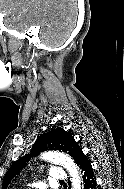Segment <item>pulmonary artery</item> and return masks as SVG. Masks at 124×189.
Instances as JSON below:
<instances>
[{
  "label": "pulmonary artery",
  "instance_id": "1",
  "mask_svg": "<svg viewBox=\"0 0 124 189\" xmlns=\"http://www.w3.org/2000/svg\"><path fill=\"white\" fill-rule=\"evenodd\" d=\"M49 176L54 181H63L66 179V174L60 167H53L49 172Z\"/></svg>",
  "mask_w": 124,
  "mask_h": 189
}]
</instances>
